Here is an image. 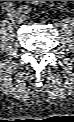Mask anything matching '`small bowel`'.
<instances>
[{
	"label": "small bowel",
	"instance_id": "small-bowel-1",
	"mask_svg": "<svg viewBox=\"0 0 74 122\" xmlns=\"http://www.w3.org/2000/svg\"><path fill=\"white\" fill-rule=\"evenodd\" d=\"M32 2L38 4V3H43L44 1H32Z\"/></svg>",
	"mask_w": 74,
	"mask_h": 122
}]
</instances>
